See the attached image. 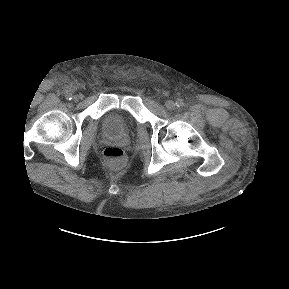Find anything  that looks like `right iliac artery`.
<instances>
[{
	"label": "right iliac artery",
	"mask_w": 289,
	"mask_h": 289,
	"mask_svg": "<svg viewBox=\"0 0 289 289\" xmlns=\"http://www.w3.org/2000/svg\"><path fill=\"white\" fill-rule=\"evenodd\" d=\"M65 97H66L67 100H71L73 96H72L71 93H68V92H67L66 95H65Z\"/></svg>",
	"instance_id": "right-iliac-artery-1"
}]
</instances>
